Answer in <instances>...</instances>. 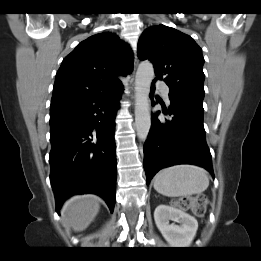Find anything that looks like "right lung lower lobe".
I'll return each mask as SVG.
<instances>
[{
  "instance_id": "right-lung-lower-lobe-1",
  "label": "right lung lower lobe",
  "mask_w": 261,
  "mask_h": 261,
  "mask_svg": "<svg viewBox=\"0 0 261 261\" xmlns=\"http://www.w3.org/2000/svg\"><path fill=\"white\" fill-rule=\"evenodd\" d=\"M123 86L50 107V182L56 209L73 194L116 199L115 117Z\"/></svg>"
}]
</instances>
